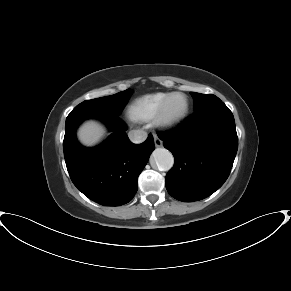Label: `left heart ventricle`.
<instances>
[{
    "label": "left heart ventricle",
    "mask_w": 291,
    "mask_h": 291,
    "mask_svg": "<svg viewBox=\"0 0 291 291\" xmlns=\"http://www.w3.org/2000/svg\"><path fill=\"white\" fill-rule=\"evenodd\" d=\"M184 106V99L182 97H176L172 101V110L177 112L180 111Z\"/></svg>",
    "instance_id": "b2bd125f"
}]
</instances>
